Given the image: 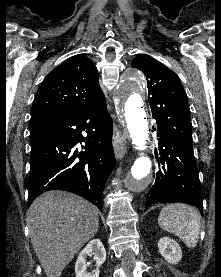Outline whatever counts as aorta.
Here are the masks:
<instances>
[{"mask_svg": "<svg viewBox=\"0 0 221 277\" xmlns=\"http://www.w3.org/2000/svg\"><path fill=\"white\" fill-rule=\"evenodd\" d=\"M144 79L136 69H128L117 87L120 112L123 115L126 128L132 138L135 148L142 151L133 162L126 179L129 191L140 192L145 190L152 181V163L143 151L146 150L149 137L148 121L143 102Z\"/></svg>", "mask_w": 221, "mask_h": 277, "instance_id": "obj_1", "label": "aorta"}]
</instances>
